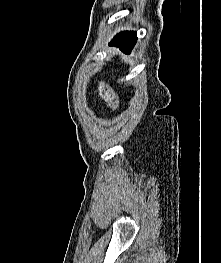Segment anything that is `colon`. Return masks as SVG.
<instances>
[{
	"label": "colon",
	"instance_id": "colon-1",
	"mask_svg": "<svg viewBox=\"0 0 221 263\" xmlns=\"http://www.w3.org/2000/svg\"><path fill=\"white\" fill-rule=\"evenodd\" d=\"M98 92L110 109L115 110L117 108L118 101L116 94L105 82L98 84Z\"/></svg>",
	"mask_w": 221,
	"mask_h": 263
}]
</instances>
